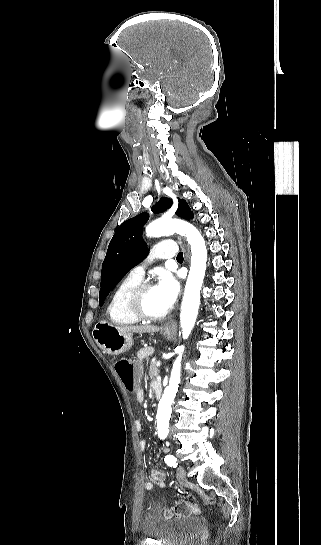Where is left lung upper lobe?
I'll list each match as a JSON object with an SVG mask.
<instances>
[{
	"label": "left lung upper lobe",
	"mask_w": 321,
	"mask_h": 545,
	"mask_svg": "<svg viewBox=\"0 0 321 545\" xmlns=\"http://www.w3.org/2000/svg\"><path fill=\"white\" fill-rule=\"evenodd\" d=\"M172 201L161 200L152 207V212L160 213L169 209ZM176 214L187 220L193 213L184 199H179ZM149 219L147 213H141L122 223L110 241L105 260L102 265L99 304L102 305L109 292L135 267L147 254V245L142 239V228Z\"/></svg>",
	"instance_id": "1"
}]
</instances>
